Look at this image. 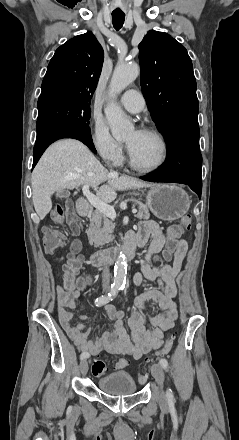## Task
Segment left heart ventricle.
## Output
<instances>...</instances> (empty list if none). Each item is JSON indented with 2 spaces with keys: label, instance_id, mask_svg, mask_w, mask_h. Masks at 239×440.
<instances>
[{
  "label": "left heart ventricle",
  "instance_id": "1",
  "mask_svg": "<svg viewBox=\"0 0 239 440\" xmlns=\"http://www.w3.org/2000/svg\"><path fill=\"white\" fill-rule=\"evenodd\" d=\"M126 140L131 145L130 151L140 166L149 168L159 162L162 148L155 136L141 131L131 132Z\"/></svg>",
  "mask_w": 239,
  "mask_h": 440
}]
</instances>
